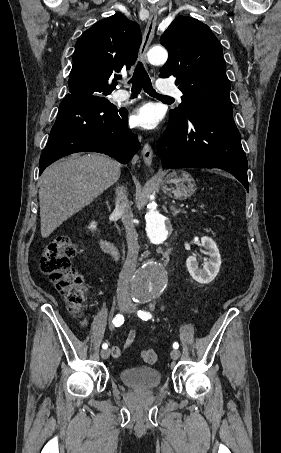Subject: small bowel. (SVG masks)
<instances>
[{"mask_svg":"<svg viewBox=\"0 0 281 453\" xmlns=\"http://www.w3.org/2000/svg\"><path fill=\"white\" fill-rule=\"evenodd\" d=\"M134 340H135V332L133 330H130L124 341L123 347L121 348L119 346H112L110 348L111 354L113 356H120L125 350H127L132 345Z\"/></svg>","mask_w":281,"mask_h":453,"instance_id":"1","label":"small bowel"}]
</instances>
